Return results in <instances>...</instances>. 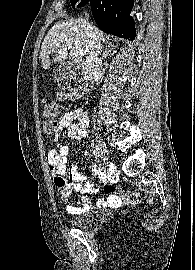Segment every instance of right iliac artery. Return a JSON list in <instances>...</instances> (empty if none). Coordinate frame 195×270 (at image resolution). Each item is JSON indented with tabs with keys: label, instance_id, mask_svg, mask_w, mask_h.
Here are the masks:
<instances>
[{
	"label": "right iliac artery",
	"instance_id": "82829eb1",
	"mask_svg": "<svg viewBox=\"0 0 195 270\" xmlns=\"http://www.w3.org/2000/svg\"><path fill=\"white\" fill-rule=\"evenodd\" d=\"M94 154H95L96 156H98V154H97V151H96V150H94Z\"/></svg>",
	"mask_w": 195,
	"mask_h": 270
}]
</instances>
